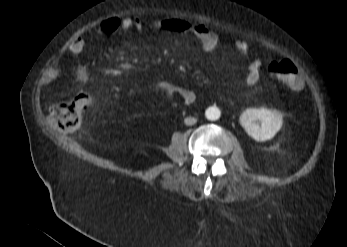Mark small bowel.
<instances>
[{"label": "small bowel", "mask_w": 347, "mask_h": 247, "mask_svg": "<svg viewBox=\"0 0 347 247\" xmlns=\"http://www.w3.org/2000/svg\"><path fill=\"white\" fill-rule=\"evenodd\" d=\"M146 27L159 29L162 28L174 32L191 33L200 43L201 47L207 52H213L218 49L220 40L218 35L204 23H189L183 20H167L156 24L148 22L138 17L130 18H108L101 27L100 31L107 36H112L119 31L141 30ZM237 53L244 57L249 52V44L243 39L235 41L233 45ZM85 48V41L82 37H76L68 45V51L72 54H80ZM259 59H252L248 64V72L245 76V83L249 86L255 85L259 80V71L261 68ZM63 74V68L60 64L53 65L45 76V84L51 86L58 82ZM76 80L80 88L89 81L86 74L79 72L76 75ZM156 87L171 96H178L186 105H190L196 100V93L186 87L176 83L160 80L156 83ZM84 91L82 89L79 92ZM78 92V93H79ZM77 93V94H78Z\"/></svg>", "instance_id": "obj_1"}]
</instances>
